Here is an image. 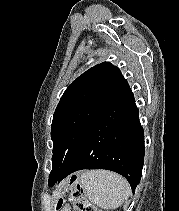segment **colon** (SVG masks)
<instances>
[{"instance_id":"1","label":"colon","mask_w":179,"mask_h":211,"mask_svg":"<svg viewBox=\"0 0 179 211\" xmlns=\"http://www.w3.org/2000/svg\"><path fill=\"white\" fill-rule=\"evenodd\" d=\"M84 188L79 179L73 177L69 181L67 196L75 211H101L84 198Z\"/></svg>"}]
</instances>
